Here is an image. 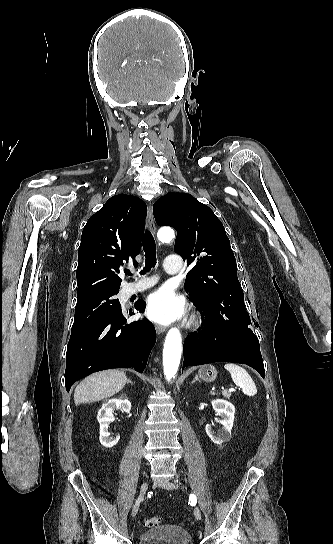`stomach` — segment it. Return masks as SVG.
<instances>
[{"instance_id":"stomach-1","label":"stomach","mask_w":333,"mask_h":544,"mask_svg":"<svg viewBox=\"0 0 333 544\" xmlns=\"http://www.w3.org/2000/svg\"><path fill=\"white\" fill-rule=\"evenodd\" d=\"M198 375L206 382H213L217 377V370L212 365H204L199 369Z\"/></svg>"}]
</instances>
